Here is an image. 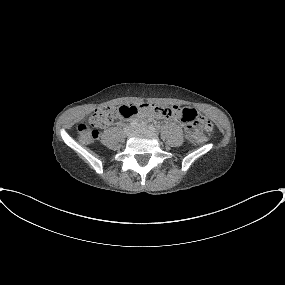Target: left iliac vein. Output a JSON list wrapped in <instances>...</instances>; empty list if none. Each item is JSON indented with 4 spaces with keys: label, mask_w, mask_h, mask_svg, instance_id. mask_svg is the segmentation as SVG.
Masks as SVG:
<instances>
[{
    "label": "left iliac vein",
    "mask_w": 285,
    "mask_h": 285,
    "mask_svg": "<svg viewBox=\"0 0 285 285\" xmlns=\"http://www.w3.org/2000/svg\"><path fill=\"white\" fill-rule=\"evenodd\" d=\"M144 129H147V125L146 124L137 125L134 128V130H144Z\"/></svg>",
    "instance_id": "left-iliac-vein-1"
}]
</instances>
